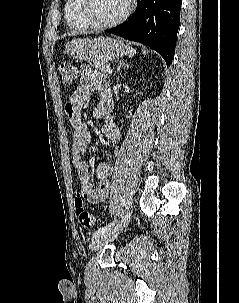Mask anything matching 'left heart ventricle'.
Segmentation results:
<instances>
[{
    "label": "left heart ventricle",
    "instance_id": "left-heart-ventricle-1",
    "mask_svg": "<svg viewBox=\"0 0 239 303\" xmlns=\"http://www.w3.org/2000/svg\"><path fill=\"white\" fill-rule=\"evenodd\" d=\"M128 0H92L89 14L96 22H109L119 17L126 9Z\"/></svg>",
    "mask_w": 239,
    "mask_h": 303
}]
</instances>
